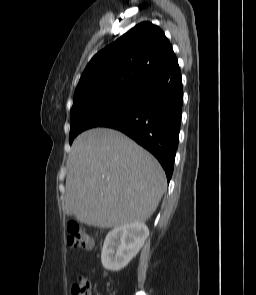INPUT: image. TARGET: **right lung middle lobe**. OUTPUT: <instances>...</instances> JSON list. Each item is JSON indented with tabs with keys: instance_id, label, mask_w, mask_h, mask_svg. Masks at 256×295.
I'll return each instance as SVG.
<instances>
[{
	"instance_id": "obj_1",
	"label": "right lung middle lobe",
	"mask_w": 256,
	"mask_h": 295,
	"mask_svg": "<svg viewBox=\"0 0 256 295\" xmlns=\"http://www.w3.org/2000/svg\"><path fill=\"white\" fill-rule=\"evenodd\" d=\"M135 98V92H128L89 103L73 101V107L70 111V144L75 136L82 131L97 127L101 122L122 113L134 103Z\"/></svg>"
}]
</instances>
